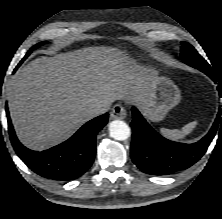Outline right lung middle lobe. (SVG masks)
<instances>
[{"instance_id":"1","label":"right lung middle lobe","mask_w":222,"mask_h":219,"mask_svg":"<svg viewBox=\"0 0 222 219\" xmlns=\"http://www.w3.org/2000/svg\"><path fill=\"white\" fill-rule=\"evenodd\" d=\"M45 43H47V42H40V43L36 44L35 46H33L32 49H30V50L28 51L27 57L29 56V54L32 52L33 49H36V48H38L39 46H41V45H43V44H45ZM27 57H26V58H27ZM26 58H24V59L20 62V64H21ZM20 64H19V65H20ZM19 65H18V66H19Z\"/></svg>"}]
</instances>
